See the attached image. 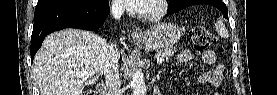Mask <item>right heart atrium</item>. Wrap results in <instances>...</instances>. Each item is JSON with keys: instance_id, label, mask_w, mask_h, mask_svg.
<instances>
[{"instance_id": "1", "label": "right heart atrium", "mask_w": 277, "mask_h": 95, "mask_svg": "<svg viewBox=\"0 0 277 95\" xmlns=\"http://www.w3.org/2000/svg\"><path fill=\"white\" fill-rule=\"evenodd\" d=\"M114 13H115V14H120V13H121V7L118 6V5H115V6H114Z\"/></svg>"}]
</instances>
